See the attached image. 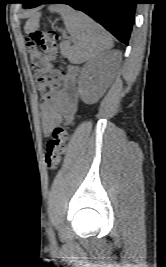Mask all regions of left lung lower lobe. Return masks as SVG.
Here are the masks:
<instances>
[{
    "label": "left lung lower lobe",
    "instance_id": "obj_1",
    "mask_svg": "<svg viewBox=\"0 0 166 267\" xmlns=\"http://www.w3.org/2000/svg\"><path fill=\"white\" fill-rule=\"evenodd\" d=\"M25 6L34 8L43 3H63L85 12L119 41L128 45L134 22L137 0H23Z\"/></svg>",
    "mask_w": 166,
    "mask_h": 267
}]
</instances>
